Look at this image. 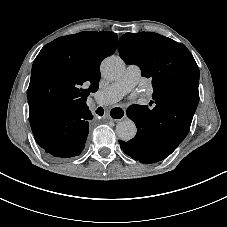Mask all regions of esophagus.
<instances>
[{
	"mask_svg": "<svg viewBox=\"0 0 227 227\" xmlns=\"http://www.w3.org/2000/svg\"><path fill=\"white\" fill-rule=\"evenodd\" d=\"M107 116L114 121H120L126 116V112L122 107L115 106L107 112Z\"/></svg>",
	"mask_w": 227,
	"mask_h": 227,
	"instance_id": "34e87169",
	"label": "esophagus"
}]
</instances>
